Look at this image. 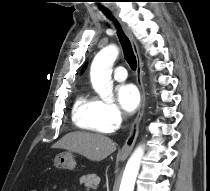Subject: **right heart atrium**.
<instances>
[{"label":"right heart atrium","instance_id":"d8ad5b80","mask_svg":"<svg viewBox=\"0 0 210 191\" xmlns=\"http://www.w3.org/2000/svg\"><path fill=\"white\" fill-rule=\"evenodd\" d=\"M103 119L112 127L120 126L123 115L118 106L113 102L99 101Z\"/></svg>","mask_w":210,"mask_h":191}]
</instances>
